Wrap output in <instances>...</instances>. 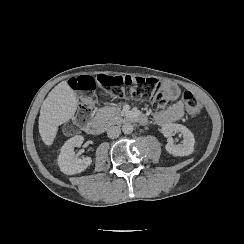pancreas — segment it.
I'll list each match as a JSON object with an SVG mask.
<instances>
[{"label": "pancreas", "mask_w": 244, "mask_h": 244, "mask_svg": "<svg viewBox=\"0 0 244 244\" xmlns=\"http://www.w3.org/2000/svg\"><path fill=\"white\" fill-rule=\"evenodd\" d=\"M124 113L119 104H106L96 111L95 119L110 120L115 124L123 122Z\"/></svg>", "instance_id": "1"}]
</instances>
